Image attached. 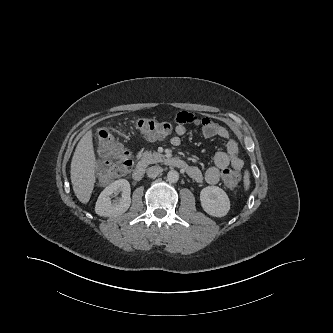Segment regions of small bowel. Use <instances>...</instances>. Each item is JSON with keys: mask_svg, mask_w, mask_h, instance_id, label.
<instances>
[{"mask_svg": "<svg viewBox=\"0 0 333 333\" xmlns=\"http://www.w3.org/2000/svg\"><path fill=\"white\" fill-rule=\"evenodd\" d=\"M177 125L175 127L176 135L170 140L173 146L181 144V137L187 133L186 124H195L200 126L202 135L205 138L219 137L226 143L225 150L215 153L214 166L202 172L199 168L191 166L188 170L189 176L197 182H206L216 184L223 176V172L231 167L234 171H241L244 162L239 156L238 146L234 139L231 138L228 130L211 121L207 117H198L192 113L181 112L176 117Z\"/></svg>", "mask_w": 333, "mask_h": 333, "instance_id": "c3829d8e", "label": "small bowel"}]
</instances>
